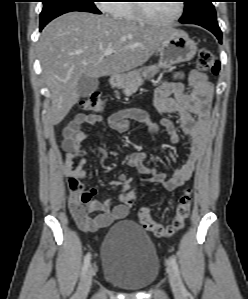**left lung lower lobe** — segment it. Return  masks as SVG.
<instances>
[{
	"label": "left lung lower lobe",
	"mask_w": 248,
	"mask_h": 299,
	"mask_svg": "<svg viewBox=\"0 0 248 299\" xmlns=\"http://www.w3.org/2000/svg\"><path fill=\"white\" fill-rule=\"evenodd\" d=\"M197 25H200V26L208 29L209 31H211L218 38L219 42L221 43L222 33H221V30H220L217 22H202Z\"/></svg>",
	"instance_id": "0a47b994"
}]
</instances>
